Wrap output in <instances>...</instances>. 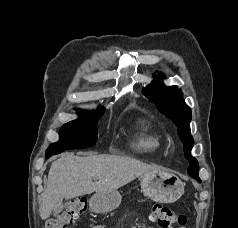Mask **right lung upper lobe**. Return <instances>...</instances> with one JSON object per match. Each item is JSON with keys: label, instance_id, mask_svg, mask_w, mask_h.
<instances>
[{"label": "right lung upper lobe", "instance_id": "cb5924a9", "mask_svg": "<svg viewBox=\"0 0 238 228\" xmlns=\"http://www.w3.org/2000/svg\"><path fill=\"white\" fill-rule=\"evenodd\" d=\"M88 113H90V112H85V111L78 109V114H88Z\"/></svg>", "mask_w": 238, "mask_h": 228}]
</instances>
